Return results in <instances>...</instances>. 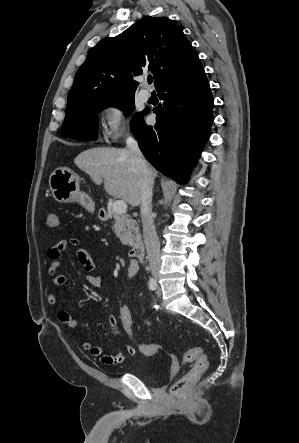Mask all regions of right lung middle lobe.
<instances>
[{
    "mask_svg": "<svg viewBox=\"0 0 299 443\" xmlns=\"http://www.w3.org/2000/svg\"><path fill=\"white\" fill-rule=\"evenodd\" d=\"M109 106L117 107L128 113L131 109H134V94L88 101L66 108L65 120L61 128L62 136L95 140L97 135V113ZM137 114H134L133 118Z\"/></svg>",
    "mask_w": 299,
    "mask_h": 443,
    "instance_id": "dd1d6c3e",
    "label": "right lung middle lobe"
}]
</instances>
